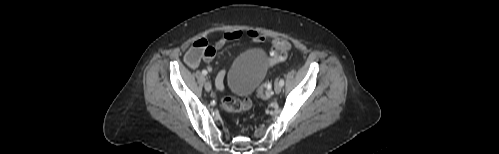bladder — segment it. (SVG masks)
I'll list each match as a JSON object with an SVG mask.
<instances>
[{"label": "bladder", "instance_id": "bladder-1", "mask_svg": "<svg viewBox=\"0 0 499 154\" xmlns=\"http://www.w3.org/2000/svg\"><path fill=\"white\" fill-rule=\"evenodd\" d=\"M268 72V62L262 49L253 48L242 52L232 63L226 79L228 92L238 96L252 94Z\"/></svg>", "mask_w": 499, "mask_h": 154}]
</instances>
